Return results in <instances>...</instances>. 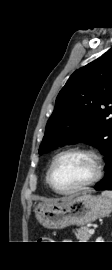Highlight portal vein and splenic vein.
<instances>
[{
	"label": "portal vein and splenic vein",
	"mask_w": 112,
	"mask_h": 270,
	"mask_svg": "<svg viewBox=\"0 0 112 270\" xmlns=\"http://www.w3.org/2000/svg\"><path fill=\"white\" fill-rule=\"evenodd\" d=\"M89 233L92 235L94 234V229H89Z\"/></svg>",
	"instance_id": "portal-vein-and-splenic-vein-1"
}]
</instances>
